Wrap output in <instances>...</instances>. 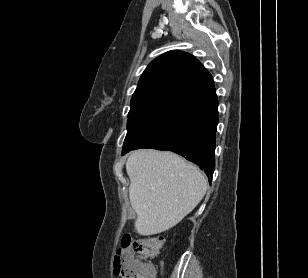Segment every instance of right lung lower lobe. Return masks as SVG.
<instances>
[{
	"label": "right lung lower lobe",
	"mask_w": 308,
	"mask_h": 278,
	"mask_svg": "<svg viewBox=\"0 0 308 278\" xmlns=\"http://www.w3.org/2000/svg\"><path fill=\"white\" fill-rule=\"evenodd\" d=\"M218 124L216 92L177 114L162 129L131 150L152 148L184 156L202 167L212 180L215 168V133Z\"/></svg>",
	"instance_id": "1"
}]
</instances>
